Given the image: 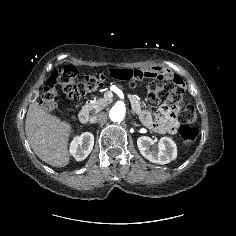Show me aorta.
Wrapping results in <instances>:
<instances>
[{
	"instance_id": "762f6f07",
	"label": "aorta",
	"mask_w": 236,
	"mask_h": 236,
	"mask_svg": "<svg viewBox=\"0 0 236 236\" xmlns=\"http://www.w3.org/2000/svg\"><path fill=\"white\" fill-rule=\"evenodd\" d=\"M125 107L120 104H115L109 111V118L113 122H121L125 117Z\"/></svg>"
}]
</instances>
